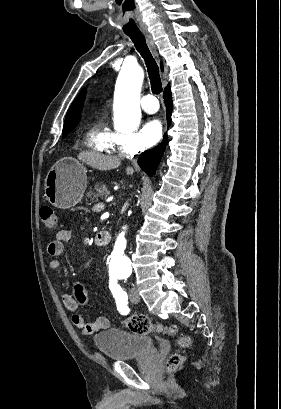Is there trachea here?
Instances as JSON below:
<instances>
[{"instance_id":"trachea-1","label":"trachea","mask_w":281,"mask_h":409,"mask_svg":"<svg viewBox=\"0 0 281 409\" xmlns=\"http://www.w3.org/2000/svg\"><path fill=\"white\" fill-rule=\"evenodd\" d=\"M126 35L130 37L135 45L137 52L140 53L141 57L145 61L151 82L152 93H154L155 95L160 94L163 91V87L159 76V67L146 44V39L143 33L138 31L126 33Z\"/></svg>"}]
</instances>
